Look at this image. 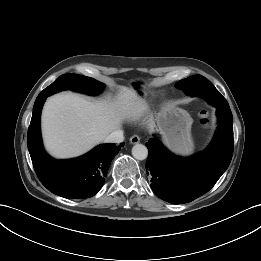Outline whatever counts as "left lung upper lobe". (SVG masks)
Segmentation results:
<instances>
[{
	"instance_id": "left-lung-upper-lobe-1",
	"label": "left lung upper lobe",
	"mask_w": 261,
	"mask_h": 261,
	"mask_svg": "<svg viewBox=\"0 0 261 261\" xmlns=\"http://www.w3.org/2000/svg\"><path fill=\"white\" fill-rule=\"evenodd\" d=\"M207 79L201 75H194L189 78L183 79L176 83V87L188 92L191 88L197 86L200 82L206 81Z\"/></svg>"
}]
</instances>
